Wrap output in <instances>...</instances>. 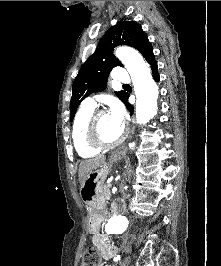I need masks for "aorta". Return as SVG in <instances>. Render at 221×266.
Segmentation results:
<instances>
[{
    "label": "aorta",
    "mask_w": 221,
    "mask_h": 266,
    "mask_svg": "<svg viewBox=\"0 0 221 266\" xmlns=\"http://www.w3.org/2000/svg\"><path fill=\"white\" fill-rule=\"evenodd\" d=\"M115 54L124 64L133 82L137 123L145 124L156 114L158 86L152 78L148 64L137 51L128 47H120ZM134 146V142L129 144L130 148ZM127 227V219L124 216L115 215L108 220L105 230L110 234H121Z\"/></svg>",
    "instance_id": "aorta-1"
}]
</instances>
